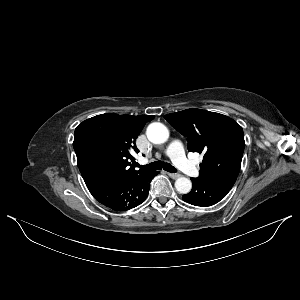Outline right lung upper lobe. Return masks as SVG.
<instances>
[{
  "label": "right lung upper lobe",
  "instance_id": "obj_1",
  "mask_svg": "<svg viewBox=\"0 0 300 300\" xmlns=\"http://www.w3.org/2000/svg\"><path fill=\"white\" fill-rule=\"evenodd\" d=\"M150 115H117L106 113L89 118L75 129L74 150L78 167L89 190L117 182L146 171L131 165L133 151L139 152L135 140ZM89 169L93 175H89Z\"/></svg>",
  "mask_w": 300,
  "mask_h": 300
}]
</instances>
